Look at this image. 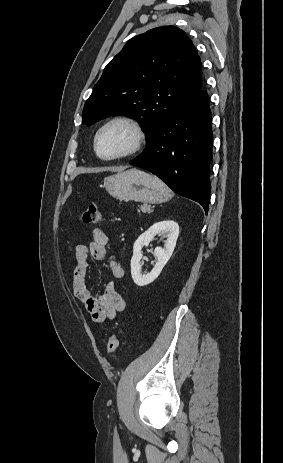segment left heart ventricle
Instances as JSON below:
<instances>
[{
    "instance_id": "obj_1",
    "label": "left heart ventricle",
    "mask_w": 283,
    "mask_h": 463,
    "mask_svg": "<svg viewBox=\"0 0 283 463\" xmlns=\"http://www.w3.org/2000/svg\"><path fill=\"white\" fill-rule=\"evenodd\" d=\"M133 140L132 131L125 125L117 124L106 129L99 137L98 151L104 157L126 151Z\"/></svg>"
}]
</instances>
